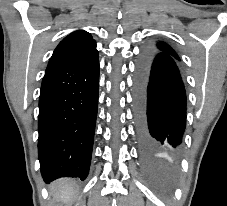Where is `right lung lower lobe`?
I'll use <instances>...</instances> for the list:
<instances>
[{"instance_id": "98d812e1", "label": "right lung lower lobe", "mask_w": 227, "mask_h": 206, "mask_svg": "<svg viewBox=\"0 0 227 206\" xmlns=\"http://www.w3.org/2000/svg\"><path fill=\"white\" fill-rule=\"evenodd\" d=\"M99 61L45 73L39 97L38 152L43 179L89 172L98 107Z\"/></svg>"}]
</instances>
